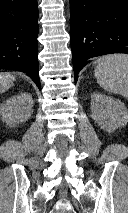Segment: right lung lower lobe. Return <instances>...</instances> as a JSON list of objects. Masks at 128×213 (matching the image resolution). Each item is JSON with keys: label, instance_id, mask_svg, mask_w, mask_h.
Returning <instances> with one entry per match:
<instances>
[{"label": "right lung lower lobe", "instance_id": "right-lung-lower-lobe-1", "mask_svg": "<svg viewBox=\"0 0 128 213\" xmlns=\"http://www.w3.org/2000/svg\"><path fill=\"white\" fill-rule=\"evenodd\" d=\"M37 0H0V69L26 73L39 89Z\"/></svg>", "mask_w": 128, "mask_h": 213}]
</instances>
